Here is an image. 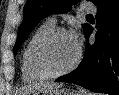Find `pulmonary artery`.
<instances>
[{
	"label": "pulmonary artery",
	"instance_id": "pulmonary-artery-1",
	"mask_svg": "<svg viewBox=\"0 0 119 95\" xmlns=\"http://www.w3.org/2000/svg\"><path fill=\"white\" fill-rule=\"evenodd\" d=\"M83 9L85 11H90V12L95 10L94 7L92 5H90V4H84L83 5ZM49 21L55 23L56 22V18L54 16H52V17L49 18Z\"/></svg>",
	"mask_w": 119,
	"mask_h": 95
}]
</instances>
